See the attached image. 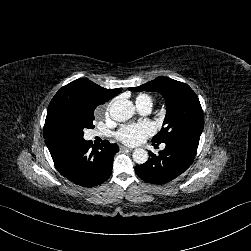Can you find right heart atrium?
<instances>
[{
	"label": "right heart atrium",
	"instance_id": "right-heart-atrium-1",
	"mask_svg": "<svg viewBox=\"0 0 251 251\" xmlns=\"http://www.w3.org/2000/svg\"><path fill=\"white\" fill-rule=\"evenodd\" d=\"M111 105H112V101L109 102V103H107V104H104V105L100 106V107L98 108V112H99V113H103V114H105V115H108V114H109V110H110V108H111Z\"/></svg>",
	"mask_w": 251,
	"mask_h": 251
}]
</instances>
